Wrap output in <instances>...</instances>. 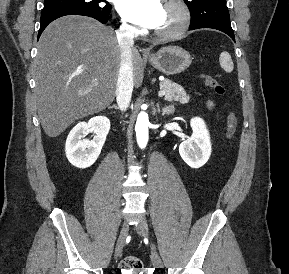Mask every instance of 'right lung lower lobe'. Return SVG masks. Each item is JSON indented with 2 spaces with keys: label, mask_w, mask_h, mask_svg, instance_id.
Returning <instances> with one entry per match:
<instances>
[{
  "label": "right lung lower lobe",
  "mask_w": 289,
  "mask_h": 274,
  "mask_svg": "<svg viewBox=\"0 0 289 274\" xmlns=\"http://www.w3.org/2000/svg\"><path fill=\"white\" fill-rule=\"evenodd\" d=\"M66 15L88 16V17H92V18L99 20L103 24L107 23L108 20L110 19V13L109 14H95L92 12H87V11H82V10H77V9H68V10L50 12V13L41 15V25H40L38 37H40L43 30L46 28V26L50 22H52L53 20L59 17L66 16Z\"/></svg>",
  "instance_id": "98d812e1"
}]
</instances>
